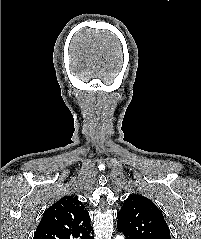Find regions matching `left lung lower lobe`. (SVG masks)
<instances>
[{"label": "left lung lower lobe", "mask_w": 201, "mask_h": 239, "mask_svg": "<svg viewBox=\"0 0 201 239\" xmlns=\"http://www.w3.org/2000/svg\"><path fill=\"white\" fill-rule=\"evenodd\" d=\"M119 232H123L122 230L118 229ZM124 236H125V239H135L133 236L123 232Z\"/></svg>", "instance_id": "1"}]
</instances>
